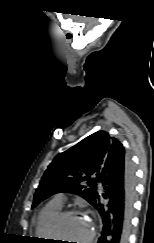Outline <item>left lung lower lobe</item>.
<instances>
[{
    "label": "left lung lower lobe",
    "mask_w": 154,
    "mask_h": 243,
    "mask_svg": "<svg viewBox=\"0 0 154 243\" xmlns=\"http://www.w3.org/2000/svg\"><path fill=\"white\" fill-rule=\"evenodd\" d=\"M104 191L92 206L102 218L101 236L97 243H127L135 198V174L124 148L109 154L98 176Z\"/></svg>",
    "instance_id": "left-lung-lower-lobe-1"
}]
</instances>
